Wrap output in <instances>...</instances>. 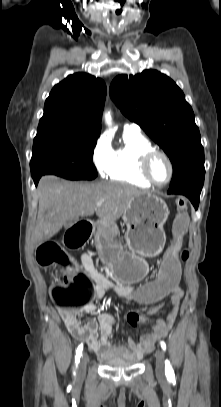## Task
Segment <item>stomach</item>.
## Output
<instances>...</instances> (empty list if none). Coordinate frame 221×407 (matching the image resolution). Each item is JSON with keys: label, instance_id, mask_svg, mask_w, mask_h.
Returning <instances> with one entry per match:
<instances>
[{"label": "stomach", "instance_id": "obj_1", "mask_svg": "<svg viewBox=\"0 0 221 407\" xmlns=\"http://www.w3.org/2000/svg\"><path fill=\"white\" fill-rule=\"evenodd\" d=\"M169 209L157 195L143 193L131 198L123 214L127 226L125 234L128 251L113 250L111 267L115 276L124 283L140 281L146 274L145 257L159 255L165 245L163 229ZM109 229L112 225L106 224Z\"/></svg>", "mask_w": 221, "mask_h": 407}]
</instances>
